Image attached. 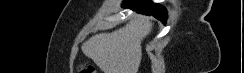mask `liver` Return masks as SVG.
<instances>
[{"instance_id":"6515ba94","label":"liver","mask_w":244,"mask_h":73,"mask_svg":"<svg viewBox=\"0 0 244 73\" xmlns=\"http://www.w3.org/2000/svg\"><path fill=\"white\" fill-rule=\"evenodd\" d=\"M152 27L151 17L134 16L114 32L91 37L82 45V51L104 73H137L142 58L141 43Z\"/></svg>"}]
</instances>
